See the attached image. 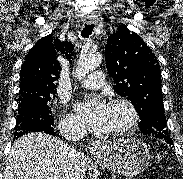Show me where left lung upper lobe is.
<instances>
[{"label": "left lung upper lobe", "instance_id": "1", "mask_svg": "<svg viewBox=\"0 0 183 179\" xmlns=\"http://www.w3.org/2000/svg\"><path fill=\"white\" fill-rule=\"evenodd\" d=\"M106 67L117 94L130 99L141 118L140 130L166 140L170 138L161 90V71L150 47L125 25L118 27L105 45Z\"/></svg>", "mask_w": 183, "mask_h": 179}]
</instances>
